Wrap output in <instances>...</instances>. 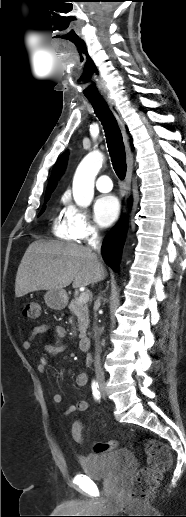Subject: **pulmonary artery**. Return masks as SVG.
<instances>
[{"mask_svg":"<svg viewBox=\"0 0 186 517\" xmlns=\"http://www.w3.org/2000/svg\"><path fill=\"white\" fill-rule=\"evenodd\" d=\"M95 185H96L97 190H99L100 192H104V193L111 191L112 187H113L112 182H111L109 176H107V175L99 176L96 180Z\"/></svg>","mask_w":186,"mask_h":517,"instance_id":"obj_1","label":"pulmonary artery"}]
</instances>
